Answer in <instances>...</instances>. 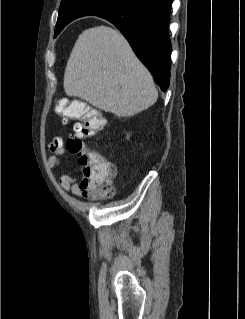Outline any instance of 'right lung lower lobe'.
Listing matches in <instances>:
<instances>
[{
  "mask_svg": "<svg viewBox=\"0 0 245 319\" xmlns=\"http://www.w3.org/2000/svg\"><path fill=\"white\" fill-rule=\"evenodd\" d=\"M173 0H125L96 16L113 23L149 69L162 91L170 83L168 25Z\"/></svg>",
  "mask_w": 245,
  "mask_h": 319,
  "instance_id": "right-lung-lower-lobe-1",
  "label": "right lung lower lobe"
}]
</instances>
